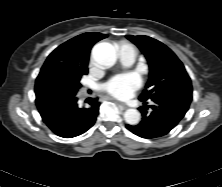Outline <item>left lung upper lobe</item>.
Instances as JSON below:
<instances>
[{
	"label": "left lung upper lobe",
	"instance_id": "obj_1",
	"mask_svg": "<svg viewBox=\"0 0 222 187\" xmlns=\"http://www.w3.org/2000/svg\"><path fill=\"white\" fill-rule=\"evenodd\" d=\"M126 37L138 46L149 65V81L139 97L141 101L153 100L165 92L192 88L184 65L166 45L144 35Z\"/></svg>",
	"mask_w": 222,
	"mask_h": 187
}]
</instances>
